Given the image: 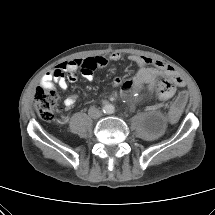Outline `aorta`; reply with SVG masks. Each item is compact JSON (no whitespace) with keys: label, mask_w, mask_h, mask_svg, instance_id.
<instances>
[{"label":"aorta","mask_w":215,"mask_h":215,"mask_svg":"<svg viewBox=\"0 0 215 215\" xmlns=\"http://www.w3.org/2000/svg\"><path fill=\"white\" fill-rule=\"evenodd\" d=\"M104 110L106 113H113L114 112V106L111 104L105 105Z\"/></svg>","instance_id":"obj_1"}]
</instances>
